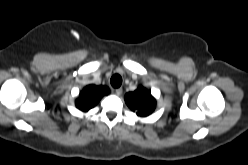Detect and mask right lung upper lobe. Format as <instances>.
Here are the masks:
<instances>
[{
	"label": "right lung upper lobe",
	"mask_w": 248,
	"mask_h": 165,
	"mask_svg": "<svg viewBox=\"0 0 248 165\" xmlns=\"http://www.w3.org/2000/svg\"><path fill=\"white\" fill-rule=\"evenodd\" d=\"M108 93L109 88L106 86L88 85L80 92V96L76 100V106L86 112L93 108Z\"/></svg>",
	"instance_id": "obj_1"
}]
</instances>
